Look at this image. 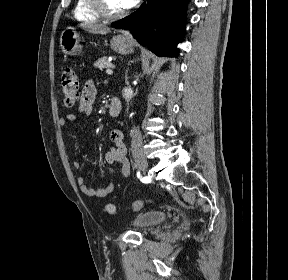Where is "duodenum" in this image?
I'll return each mask as SVG.
<instances>
[{"mask_svg":"<svg viewBox=\"0 0 288 280\" xmlns=\"http://www.w3.org/2000/svg\"><path fill=\"white\" fill-rule=\"evenodd\" d=\"M121 111V103L119 99L113 98L109 102L108 113L112 117H117Z\"/></svg>","mask_w":288,"mask_h":280,"instance_id":"obj_1","label":"duodenum"}]
</instances>
